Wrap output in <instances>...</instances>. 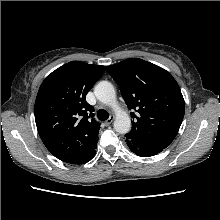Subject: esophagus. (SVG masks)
Masks as SVG:
<instances>
[{
	"label": "esophagus",
	"mask_w": 220,
	"mask_h": 220,
	"mask_svg": "<svg viewBox=\"0 0 220 220\" xmlns=\"http://www.w3.org/2000/svg\"><path fill=\"white\" fill-rule=\"evenodd\" d=\"M113 121H114V117L111 116L110 118H108V119L104 122V124H105L106 126H108V125H110Z\"/></svg>",
	"instance_id": "obj_1"
}]
</instances>
